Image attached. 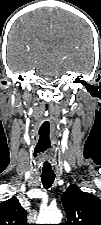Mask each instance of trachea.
<instances>
[{"instance_id": "3493384b", "label": "trachea", "mask_w": 101, "mask_h": 225, "mask_svg": "<svg viewBox=\"0 0 101 225\" xmlns=\"http://www.w3.org/2000/svg\"><path fill=\"white\" fill-rule=\"evenodd\" d=\"M55 179V175H47V176H41L42 184L45 189H48L52 186L53 181Z\"/></svg>"}]
</instances>
